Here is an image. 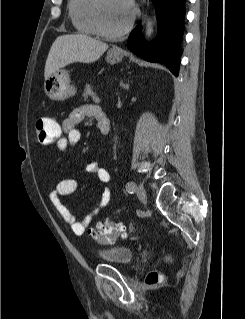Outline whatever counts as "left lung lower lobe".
<instances>
[{"label": "left lung lower lobe", "instance_id": "0a47b994", "mask_svg": "<svg viewBox=\"0 0 245 319\" xmlns=\"http://www.w3.org/2000/svg\"><path fill=\"white\" fill-rule=\"evenodd\" d=\"M158 19V34L152 43H146L141 36V25L131 32L127 47L137 56L166 65L178 76L181 40L184 30L185 0H152Z\"/></svg>", "mask_w": 245, "mask_h": 319}]
</instances>
